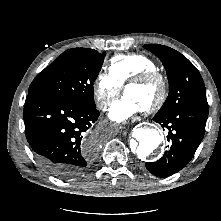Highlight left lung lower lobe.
<instances>
[{"instance_id":"0a47b994","label":"left lung lower lobe","mask_w":221,"mask_h":221,"mask_svg":"<svg viewBox=\"0 0 221 221\" xmlns=\"http://www.w3.org/2000/svg\"><path fill=\"white\" fill-rule=\"evenodd\" d=\"M208 109L185 106L153 120L169 130L171 142L163 157L156 162H147L146 168L155 176L167 177L183 169L194 156L205 133Z\"/></svg>"}]
</instances>
